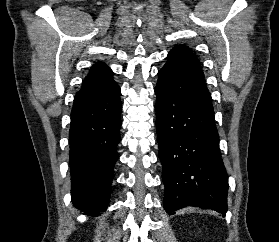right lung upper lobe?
I'll return each instance as SVG.
<instances>
[{"label": "right lung upper lobe", "instance_id": "1", "mask_svg": "<svg viewBox=\"0 0 279 242\" xmlns=\"http://www.w3.org/2000/svg\"><path fill=\"white\" fill-rule=\"evenodd\" d=\"M112 70L104 63H96L91 68L88 76L82 84V88L76 94L75 99L86 98L104 92L114 85Z\"/></svg>", "mask_w": 279, "mask_h": 242}]
</instances>
